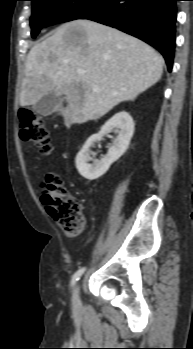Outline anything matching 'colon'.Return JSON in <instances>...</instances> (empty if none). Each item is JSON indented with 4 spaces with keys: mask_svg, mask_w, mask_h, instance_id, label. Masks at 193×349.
I'll use <instances>...</instances> for the list:
<instances>
[{
    "mask_svg": "<svg viewBox=\"0 0 193 349\" xmlns=\"http://www.w3.org/2000/svg\"><path fill=\"white\" fill-rule=\"evenodd\" d=\"M19 131L26 141L34 142L41 152L51 150V136L42 118L29 109L19 111ZM42 202L61 230L69 235H79L84 228V216L79 200L69 195L61 177L48 173L44 178Z\"/></svg>",
    "mask_w": 193,
    "mask_h": 349,
    "instance_id": "5ec220e1",
    "label": "colon"
}]
</instances>
